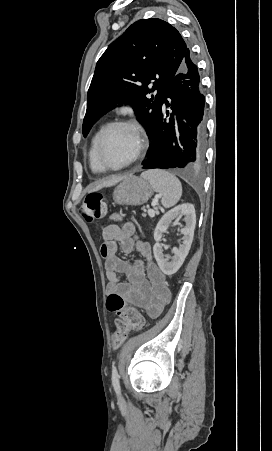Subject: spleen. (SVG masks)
Returning <instances> with one entry per match:
<instances>
[{
    "label": "spleen",
    "mask_w": 272,
    "mask_h": 451,
    "mask_svg": "<svg viewBox=\"0 0 272 451\" xmlns=\"http://www.w3.org/2000/svg\"><path fill=\"white\" fill-rule=\"evenodd\" d=\"M141 178L148 180L154 192L161 194V204L164 208H172L182 196L180 180L165 170H147L142 172Z\"/></svg>",
    "instance_id": "spleen-1"
}]
</instances>
